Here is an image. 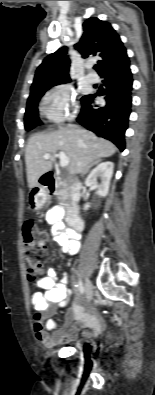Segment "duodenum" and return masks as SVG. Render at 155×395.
<instances>
[{
	"instance_id": "duodenum-1",
	"label": "duodenum",
	"mask_w": 155,
	"mask_h": 395,
	"mask_svg": "<svg viewBox=\"0 0 155 395\" xmlns=\"http://www.w3.org/2000/svg\"><path fill=\"white\" fill-rule=\"evenodd\" d=\"M63 181H61L55 174L48 173L42 178V185L51 193L55 192L57 189L63 185ZM80 187V183L76 182L73 184L72 189V197L71 202L67 210V222L70 227L75 231H80L83 229V220L80 216L79 206L77 204L79 199L78 189Z\"/></svg>"
}]
</instances>
